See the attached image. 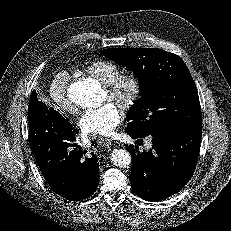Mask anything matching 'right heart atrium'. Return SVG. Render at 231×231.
<instances>
[{
    "mask_svg": "<svg viewBox=\"0 0 231 231\" xmlns=\"http://www.w3.org/2000/svg\"><path fill=\"white\" fill-rule=\"evenodd\" d=\"M70 76L67 71L56 73L50 83V95L54 103L60 110L67 113H73L74 107L67 97V87Z\"/></svg>",
    "mask_w": 231,
    "mask_h": 231,
    "instance_id": "1",
    "label": "right heart atrium"
}]
</instances>
